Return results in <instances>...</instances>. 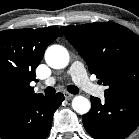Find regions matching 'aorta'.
<instances>
[{
	"label": "aorta",
	"mask_w": 139,
	"mask_h": 139,
	"mask_svg": "<svg viewBox=\"0 0 139 139\" xmlns=\"http://www.w3.org/2000/svg\"><path fill=\"white\" fill-rule=\"evenodd\" d=\"M69 53L61 45H52L45 52L46 63L54 69H63L69 63ZM72 108L79 114H86L91 108L90 101L83 96H76L72 100Z\"/></svg>",
	"instance_id": "aorta-1"
}]
</instances>
